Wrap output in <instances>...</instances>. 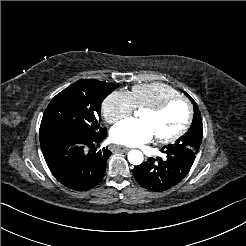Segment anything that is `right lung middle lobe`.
Listing matches in <instances>:
<instances>
[{
  "instance_id": "right-lung-middle-lobe-1",
  "label": "right lung middle lobe",
  "mask_w": 246,
  "mask_h": 246,
  "mask_svg": "<svg viewBox=\"0 0 246 246\" xmlns=\"http://www.w3.org/2000/svg\"><path fill=\"white\" fill-rule=\"evenodd\" d=\"M112 83L79 80L49 103L43 115L40 132L48 130L78 131L85 135L99 133L101 104L116 89Z\"/></svg>"
}]
</instances>
